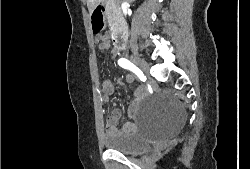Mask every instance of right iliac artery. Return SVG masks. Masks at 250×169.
I'll use <instances>...</instances> for the list:
<instances>
[{
  "instance_id": "1",
  "label": "right iliac artery",
  "mask_w": 250,
  "mask_h": 169,
  "mask_svg": "<svg viewBox=\"0 0 250 169\" xmlns=\"http://www.w3.org/2000/svg\"><path fill=\"white\" fill-rule=\"evenodd\" d=\"M118 64L122 68L128 69L132 71L133 73H135L141 81L146 80V77L144 76L143 72L138 67H136L133 63H131L129 60L125 58H121L118 60Z\"/></svg>"
}]
</instances>
